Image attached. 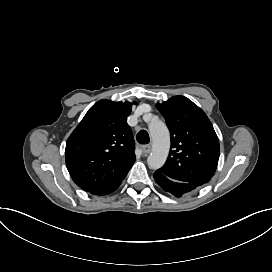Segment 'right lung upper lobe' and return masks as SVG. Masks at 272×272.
<instances>
[{"label": "right lung upper lobe", "mask_w": 272, "mask_h": 272, "mask_svg": "<svg viewBox=\"0 0 272 272\" xmlns=\"http://www.w3.org/2000/svg\"><path fill=\"white\" fill-rule=\"evenodd\" d=\"M130 102L100 100L66 143V166L74 182L95 193L119 183L135 161V142L126 119Z\"/></svg>", "instance_id": "right-lung-upper-lobe-1"}]
</instances>
